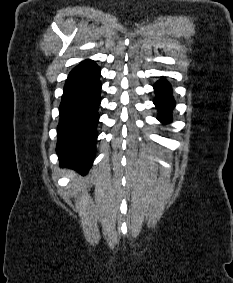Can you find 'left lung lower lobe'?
Returning <instances> with one entry per match:
<instances>
[{"instance_id": "0a47b994", "label": "left lung lower lobe", "mask_w": 233, "mask_h": 283, "mask_svg": "<svg viewBox=\"0 0 233 283\" xmlns=\"http://www.w3.org/2000/svg\"><path fill=\"white\" fill-rule=\"evenodd\" d=\"M154 89L156 91L154 104L159 110L157 119L162 123H169L171 121V110L175 106L171 95V87L162 79L154 85Z\"/></svg>"}]
</instances>
